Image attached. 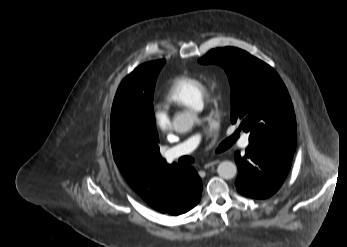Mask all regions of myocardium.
Listing matches in <instances>:
<instances>
[{"mask_svg": "<svg viewBox=\"0 0 347 247\" xmlns=\"http://www.w3.org/2000/svg\"><path fill=\"white\" fill-rule=\"evenodd\" d=\"M215 99V93L205 86L203 100L207 103L212 102Z\"/></svg>", "mask_w": 347, "mask_h": 247, "instance_id": "f54148a6", "label": "myocardium"}]
</instances>
